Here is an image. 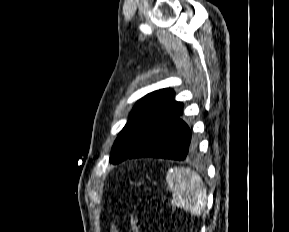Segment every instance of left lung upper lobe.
I'll return each mask as SVG.
<instances>
[{
    "instance_id": "obj_1",
    "label": "left lung upper lobe",
    "mask_w": 289,
    "mask_h": 232,
    "mask_svg": "<svg viewBox=\"0 0 289 232\" xmlns=\"http://www.w3.org/2000/svg\"><path fill=\"white\" fill-rule=\"evenodd\" d=\"M173 97L174 91L161 89L147 94L136 103L128 122L114 142L110 163H120L135 153L177 116L183 104L176 102Z\"/></svg>"
}]
</instances>
